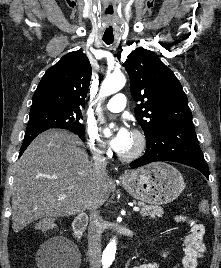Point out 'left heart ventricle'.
I'll use <instances>...</instances> for the list:
<instances>
[{"label": "left heart ventricle", "mask_w": 221, "mask_h": 268, "mask_svg": "<svg viewBox=\"0 0 221 268\" xmlns=\"http://www.w3.org/2000/svg\"><path fill=\"white\" fill-rule=\"evenodd\" d=\"M136 146H137V140H136L135 136L133 134H131V138H130L128 145L121 153L122 154H130L136 149Z\"/></svg>", "instance_id": "1"}]
</instances>
